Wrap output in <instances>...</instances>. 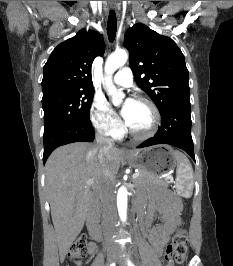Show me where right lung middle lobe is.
I'll list each match as a JSON object with an SVG mask.
<instances>
[{
    "label": "right lung middle lobe",
    "mask_w": 233,
    "mask_h": 266,
    "mask_svg": "<svg viewBox=\"0 0 233 266\" xmlns=\"http://www.w3.org/2000/svg\"><path fill=\"white\" fill-rule=\"evenodd\" d=\"M92 89L66 90L43 95L44 133L64 124L90 120Z\"/></svg>",
    "instance_id": "dd1d6c3e"
}]
</instances>
